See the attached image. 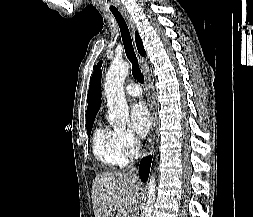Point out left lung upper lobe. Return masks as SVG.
<instances>
[{
  "mask_svg": "<svg viewBox=\"0 0 253 217\" xmlns=\"http://www.w3.org/2000/svg\"><path fill=\"white\" fill-rule=\"evenodd\" d=\"M101 65H102V62L100 61V62L98 63V65L96 66V69H95L94 72L98 71V69L101 67Z\"/></svg>",
  "mask_w": 253,
  "mask_h": 217,
  "instance_id": "1",
  "label": "left lung upper lobe"
}]
</instances>
